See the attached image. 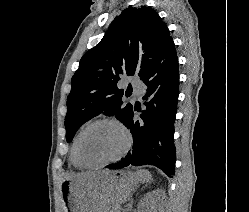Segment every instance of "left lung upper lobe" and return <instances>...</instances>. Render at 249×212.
<instances>
[{"mask_svg":"<svg viewBox=\"0 0 249 212\" xmlns=\"http://www.w3.org/2000/svg\"><path fill=\"white\" fill-rule=\"evenodd\" d=\"M171 41L166 24L150 7H129L117 16L99 44L83 55L72 77L65 117L67 142L102 112L122 122L132 105L123 103L117 82L134 74L142 78Z\"/></svg>","mask_w":249,"mask_h":212,"instance_id":"left-lung-upper-lobe-1","label":"left lung upper lobe"}]
</instances>
